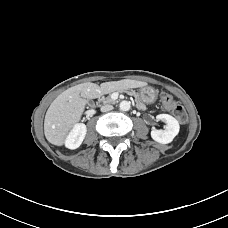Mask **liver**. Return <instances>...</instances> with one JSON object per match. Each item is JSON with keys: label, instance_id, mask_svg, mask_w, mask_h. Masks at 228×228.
<instances>
[{"label": "liver", "instance_id": "6515ba94", "mask_svg": "<svg viewBox=\"0 0 228 228\" xmlns=\"http://www.w3.org/2000/svg\"><path fill=\"white\" fill-rule=\"evenodd\" d=\"M125 83L131 88L146 86L142 81H116L103 83L86 82L70 87L58 95L49 106L44 120V134L48 142L62 146L73 127L80 121L87 104L86 99H94L101 93L120 89Z\"/></svg>", "mask_w": 228, "mask_h": 228}]
</instances>
